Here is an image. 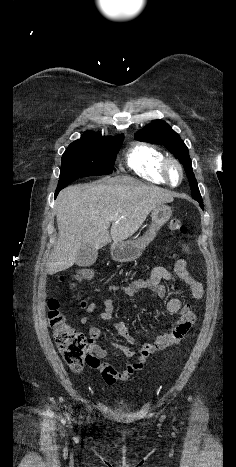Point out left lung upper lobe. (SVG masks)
Masks as SVG:
<instances>
[{"mask_svg": "<svg viewBox=\"0 0 236 467\" xmlns=\"http://www.w3.org/2000/svg\"><path fill=\"white\" fill-rule=\"evenodd\" d=\"M135 139L139 141H147L158 145H163L183 164L186 175L188 177L191 194L194 199H202L197 181L195 179L189 151L179 135L162 120H155L143 130L135 134Z\"/></svg>", "mask_w": 236, "mask_h": 467, "instance_id": "1", "label": "left lung upper lobe"}]
</instances>
